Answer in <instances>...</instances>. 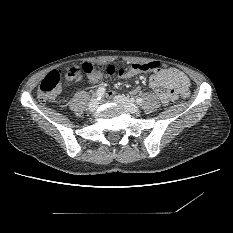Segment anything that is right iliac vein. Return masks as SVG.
Returning <instances> with one entry per match:
<instances>
[{
  "label": "right iliac vein",
  "mask_w": 233,
  "mask_h": 233,
  "mask_svg": "<svg viewBox=\"0 0 233 233\" xmlns=\"http://www.w3.org/2000/svg\"><path fill=\"white\" fill-rule=\"evenodd\" d=\"M99 106V101L97 99H92L89 103V110L95 111Z\"/></svg>",
  "instance_id": "1"
}]
</instances>
